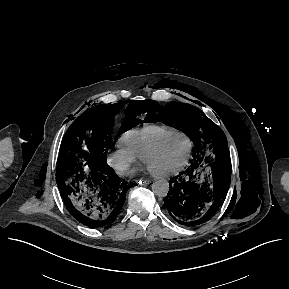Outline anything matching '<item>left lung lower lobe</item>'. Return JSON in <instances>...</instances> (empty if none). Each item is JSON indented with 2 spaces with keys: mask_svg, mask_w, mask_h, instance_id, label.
<instances>
[{
  "mask_svg": "<svg viewBox=\"0 0 289 289\" xmlns=\"http://www.w3.org/2000/svg\"><path fill=\"white\" fill-rule=\"evenodd\" d=\"M230 181L229 165L218 168L193 160L184 172L170 180L166 211L181 225L202 224L222 206Z\"/></svg>",
  "mask_w": 289,
  "mask_h": 289,
  "instance_id": "1",
  "label": "left lung lower lobe"
}]
</instances>
